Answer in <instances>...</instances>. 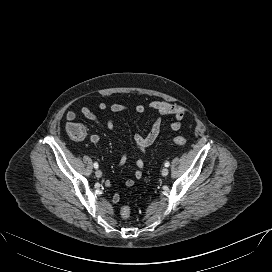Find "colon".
<instances>
[{
    "label": "colon",
    "mask_w": 272,
    "mask_h": 272,
    "mask_svg": "<svg viewBox=\"0 0 272 272\" xmlns=\"http://www.w3.org/2000/svg\"><path fill=\"white\" fill-rule=\"evenodd\" d=\"M66 130L68 135L74 140H82L86 136V129L84 126L76 122L68 123ZM173 142L177 146H184L186 144V139L182 136H176L173 139ZM121 215L125 219L128 218L130 215V208L128 206H123L121 209Z\"/></svg>",
    "instance_id": "5ec220e1"
}]
</instances>
